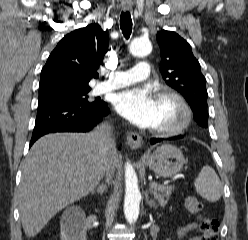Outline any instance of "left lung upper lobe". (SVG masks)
I'll return each mask as SVG.
<instances>
[{
    "label": "left lung upper lobe",
    "instance_id": "left-lung-upper-lobe-1",
    "mask_svg": "<svg viewBox=\"0 0 248 240\" xmlns=\"http://www.w3.org/2000/svg\"><path fill=\"white\" fill-rule=\"evenodd\" d=\"M156 38L161 52L160 71L163 79L184 96L198 125L207 127L206 79L191 46L172 31H159Z\"/></svg>",
    "mask_w": 248,
    "mask_h": 240
}]
</instances>
